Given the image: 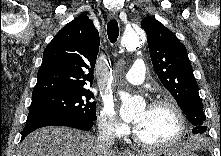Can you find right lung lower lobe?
Segmentation results:
<instances>
[{
    "mask_svg": "<svg viewBox=\"0 0 221 156\" xmlns=\"http://www.w3.org/2000/svg\"><path fill=\"white\" fill-rule=\"evenodd\" d=\"M94 121L86 120H54V121H44L39 123H28L26 124L21 140H23L32 131L45 127V126H68L81 130H90L93 127Z\"/></svg>",
    "mask_w": 221,
    "mask_h": 156,
    "instance_id": "98d812e1",
    "label": "right lung lower lobe"
}]
</instances>
